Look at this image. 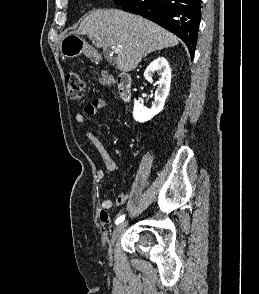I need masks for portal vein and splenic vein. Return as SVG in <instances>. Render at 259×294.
Instances as JSON below:
<instances>
[{
	"label": "portal vein and splenic vein",
	"mask_w": 259,
	"mask_h": 294,
	"mask_svg": "<svg viewBox=\"0 0 259 294\" xmlns=\"http://www.w3.org/2000/svg\"><path fill=\"white\" fill-rule=\"evenodd\" d=\"M112 49H113V51L115 53H119L121 51V47L120 46H113Z\"/></svg>",
	"instance_id": "18ae733b"
}]
</instances>
